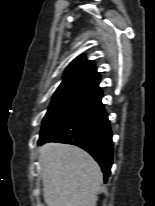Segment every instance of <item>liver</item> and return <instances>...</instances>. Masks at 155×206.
<instances>
[{"label":"liver","mask_w":155,"mask_h":206,"mask_svg":"<svg viewBox=\"0 0 155 206\" xmlns=\"http://www.w3.org/2000/svg\"><path fill=\"white\" fill-rule=\"evenodd\" d=\"M39 162L47 206H96L103 174L87 152L49 143L40 148Z\"/></svg>","instance_id":"obj_1"}]
</instances>
